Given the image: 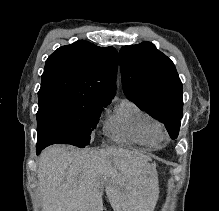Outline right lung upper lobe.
I'll return each instance as SVG.
<instances>
[{
	"mask_svg": "<svg viewBox=\"0 0 219 211\" xmlns=\"http://www.w3.org/2000/svg\"><path fill=\"white\" fill-rule=\"evenodd\" d=\"M117 51L79 40L46 60L38 96L62 94L109 103L115 95Z\"/></svg>",
	"mask_w": 219,
	"mask_h": 211,
	"instance_id": "right-lung-upper-lobe-1",
	"label": "right lung upper lobe"
}]
</instances>
